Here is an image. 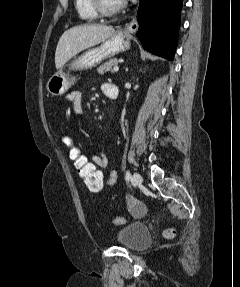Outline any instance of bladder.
I'll use <instances>...</instances> for the list:
<instances>
[{"label": "bladder", "instance_id": "obj_1", "mask_svg": "<svg viewBox=\"0 0 240 287\" xmlns=\"http://www.w3.org/2000/svg\"><path fill=\"white\" fill-rule=\"evenodd\" d=\"M117 242L132 251H138L147 247L151 242L149 227L142 222H132L119 229Z\"/></svg>", "mask_w": 240, "mask_h": 287}]
</instances>
